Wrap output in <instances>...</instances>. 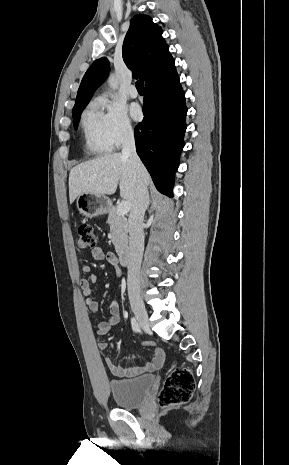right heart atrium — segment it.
Wrapping results in <instances>:
<instances>
[{"instance_id": "d8ad5b80", "label": "right heart atrium", "mask_w": 289, "mask_h": 465, "mask_svg": "<svg viewBox=\"0 0 289 465\" xmlns=\"http://www.w3.org/2000/svg\"><path fill=\"white\" fill-rule=\"evenodd\" d=\"M97 103L104 110L105 130L112 146L119 147L131 140L134 129L125 107L105 95L98 97Z\"/></svg>"}]
</instances>
